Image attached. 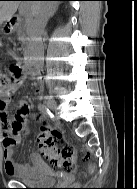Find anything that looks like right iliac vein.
I'll return each instance as SVG.
<instances>
[{"label":"right iliac vein","mask_w":137,"mask_h":189,"mask_svg":"<svg viewBox=\"0 0 137 189\" xmlns=\"http://www.w3.org/2000/svg\"><path fill=\"white\" fill-rule=\"evenodd\" d=\"M45 103H46L47 107L50 108L51 110L57 109V104L51 97L46 96L45 97Z\"/></svg>","instance_id":"1"}]
</instances>
